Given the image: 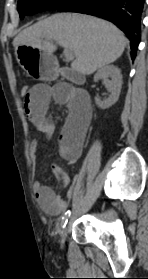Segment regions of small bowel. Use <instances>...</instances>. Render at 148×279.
<instances>
[{
  "mask_svg": "<svg viewBox=\"0 0 148 279\" xmlns=\"http://www.w3.org/2000/svg\"><path fill=\"white\" fill-rule=\"evenodd\" d=\"M52 102L67 105L69 108V115L60 133L59 153L69 164H74L82 154L92 119L90 99L83 91L64 83L36 84L31 87L29 98L24 100V109L37 132L48 138L54 131V118L49 111ZM37 148V141H33L31 150L34 154ZM52 170L62 183L69 182V178L62 168L52 167ZM33 190L40 208L50 214L61 213L73 193V189L70 188L66 198H62L51 187L40 181H34Z\"/></svg>",
  "mask_w": 148,
  "mask_h": 279,
  "instance_id": "c3829d8e",
  "label": "small bowel"
}]
</instances>
